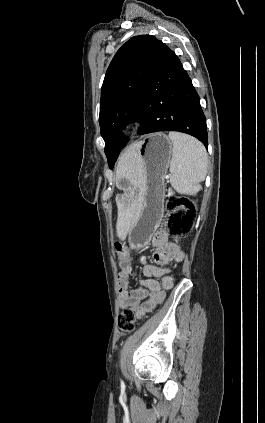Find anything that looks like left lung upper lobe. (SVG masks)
Masks as SVG:
<instances>
[{"mask_svg":"<svg viewBox=\"0 0 265 423\" xmlns=\"http://www.w3.org/2000/svg\"><path fill=\"white\" fill-rule=\"evenodd\" d=\"M161 45L154 36H135L117 51L107 69L101 89L99 123L110 168L128 141L119 130L136 119L141 93Z\"/></svg>","mask_w":265,"mask_h":423,"instance_id":"1","label":"left lung upper lobe"}]
</instances>
